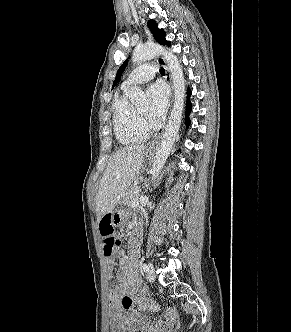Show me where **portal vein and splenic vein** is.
Here are the masks:
<instances>
[{"label": "portal vein and splenic vein", "mask_w": 291, "mask_h": 332, "mask_svg": "<svg viewBox=\"0 0 291 332\" xmlns=\"http://www.w3.org/2000/svg\"><path fill=\"white\" fill-rule=\"evenodd\" d=\"M138 205H139V202L138 201H134V202H132L131 207H136Z\"/></svg>", "instance_id": "obj_1"}]
</instances>
